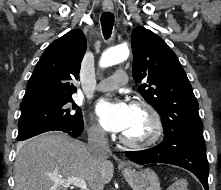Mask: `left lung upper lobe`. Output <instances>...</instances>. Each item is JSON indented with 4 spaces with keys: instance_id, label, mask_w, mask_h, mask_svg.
<instances>
[{
    "instance_id": "left-lung-upper-lobe-1",
    "label": "left lung upper lobe",
    "mask_w": 221,
    "mask_h": 190,
    "mask_svg": "<svg viewBox=\"0 0 221 190\" xmlns=\"http://www.w3.org/2000/svg\"><path fill=\"white\" fill-rule=\"evenodd\" d=\"M133 66L143 98L160 114L164 132L177 141L205 146L203 124L192 86L176 54L144 27L132 31Z\"/></svg>"
}]
</instances>
